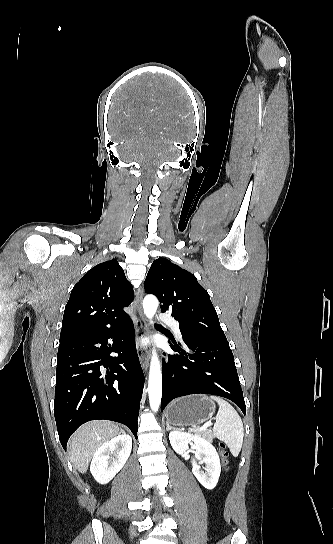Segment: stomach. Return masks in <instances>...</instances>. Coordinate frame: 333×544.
<instances>
[{
  "label": "stomach",
  "mask_w": 333,
  "mask_h": 544,
  "mask_svg": "<svg viewBox=\"0 0 333 544\" xmlns=\"http://www.w3.org/2000/svg\"><path fill=\"white\" fill-rule=\"evenodd\" d=\"M215 408V402L209 396H187L172 402L167 408L166 417L173 425L193 426L209 420Z\"/></svg>",
  "instance_id": "stomach-1"
}]
</instances>
